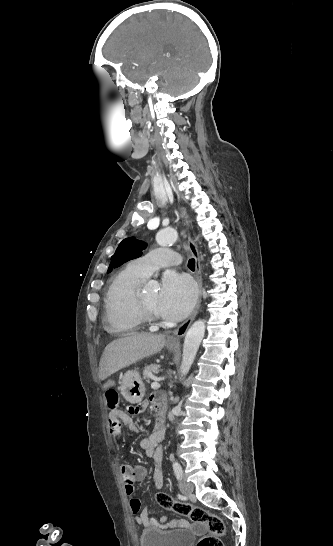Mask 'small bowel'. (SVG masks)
I'll return each mask as SVG.
<instances>
[{"label": "small bowel", "mask_w": 333, "mask_h": 546, "mask_svg": "<svg viewBox=\"0 0 333 546\" xmlns=\"http://www.w3.org/2000/svg\"><path fill=\"white\" fill-rule=\"evenodd\" d=\"M105 386L109 389H114L117 386V381L114 378H109L105 381ZM148 404H151L154 408L157 417L164 419L165 414V399L162 394H151L147 401L140 404L137 408L131 410L132 413H137L144 410ZM124 423L131 431L138 432L139 428L131 419V417L119 410L111 409L108 414V426L111 436L114 439L121 438V425ZM164 431L161 435L155 433V431L149 436L140 439L139 446L145 451L146 455L153 458L154 468L152 474V481L156 488H161L164 483L163 471H162V458L163 448L160 445L164 438ZM120 474L123 480L124 488L129 496H132L135 492L134 484L137 481H141L146 477L147 471L144 466L137 465L131 466L129 464H122L120 466ZM131 512L136 515L135 522L143 527L153 526L160 530H166L170 528L181 527L185 524L184 520L168 521L167 516H162L159 521L150 515L148 507L141 508V503L138 499L130 500Z\"/></svg>", "instance_id": "c3829d8e"}]
</instances>
